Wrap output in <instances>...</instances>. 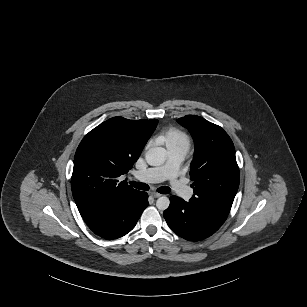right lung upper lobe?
Wrapping results in <instances>:
<instances>
[{"label":"right lung upper lobe","mask_w":307,"mask_h":307,"mask_svg":"<svg viewBox=\"0 0 307 307\" xmlns=\"http://www.w3.org/2000/svg\"><path fill=\"white\" fill-rule=\"evenodd\" d=\"M157 123V119L113 117L83 138L71 178L73 198L83 218L137 191L117 178L138 160Z\"/></svg>","instance_id":"obj_1"}]
</instances>
